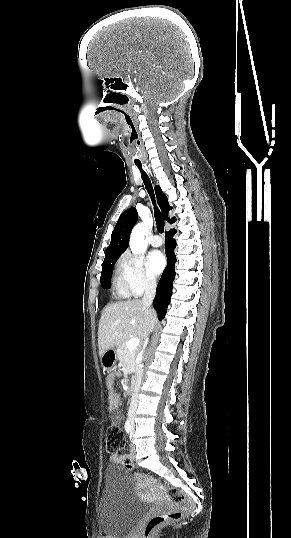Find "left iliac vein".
Returning <instances> with one entry per match:
<instances>
[{"mask_svg":"<svg viewBox=\"0 0 291 538\" xmlns=\"http://www.w3.org/2000/svg\"><path fill=\"white\" fill-rule=\"evenodd\" d=\"M133 434H134V424L132 423V429H131V433H130V439L131 440L133 439Z\"/></svg>","mask_w":291,"mask_h":538,"instance_id":"obj_1","label":"left iliac vein"}]
</instances>
